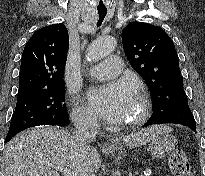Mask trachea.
I'll list each match as a JSON object with an SVG mask.
<instances>
[{
	"instance_id": "trachea-1",
	"label": "trachea",
	"mask_w": 205,
	"mask_h": 176,
	"mask_svg": "<svg viewBox=\"0 0 205 176\" xmlns=\"http://www.w3.org/2000/svg\"><path fill=\"white\" fill-rule=\"evenodd\" d=\"M107 14V10H101L98 9V21H97V27L101 26L105 16Z\"/></svg>"
}]
</instances>
